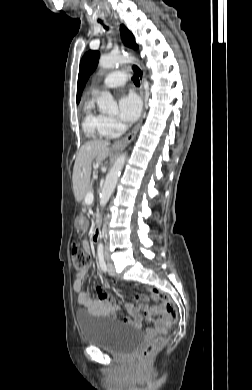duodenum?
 <instances>
[{"label": "duodenum", "instance_id": "duodenum-1", "mask_svg": "<svg viewBox=\"0 0 252 390\" xmlns=\"http://www.w3.org/2000/svg\"><path fill=\"white\" fill-rule=\"evenodd\" d=\"M101 234H102V228L99 227V228H97L94 231V234H93V237H92L93 241L94 242H98L100 240V238H101Z\"/></svg>", "mask_w": 252, "mask_h": 390}]
</instances>
